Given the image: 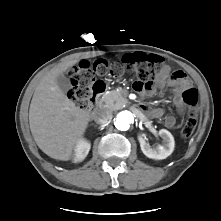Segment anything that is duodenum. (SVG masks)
Segmentation results:
<instances>
[{
    "label": "duodenum",
    "mask_w": 221,
    "mask_h": 221,
    "mask_svg": "<svg viewBox=\"0 0 221 221\" xmlns=\"http://www.w3.org/2000/svg\"><path fill=\"white\" fill-rule=\"evenodd\" d=\"M107 89L106 83L102 80L95 81L90 87V107L88 113L92 112L93 107L98 103L100 97L105 93ZM144 111V110H143Z\"/></svg>",
    "instance_id": "410a0bca"
}]
</instances>
